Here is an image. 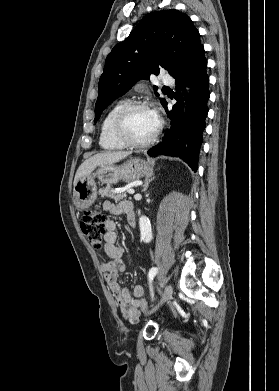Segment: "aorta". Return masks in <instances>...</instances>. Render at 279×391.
Wrapping results in <instances>:
<instances>
[{"label":"aorta","mask_w":279,"mask_h":391,"mask_svg":"<svg viewBox=\"0 0 279 391\" xmlns=\"http://www.w3.org/2000/svg\"><path fill=\"white\" fill-rule=\"evenodd\" d=\"M141 239L145 243H149L152 240V230L149 219L146 216H141L139 219Z\"/></svg>","instance_id":"aorta-1"}]
</instances>
